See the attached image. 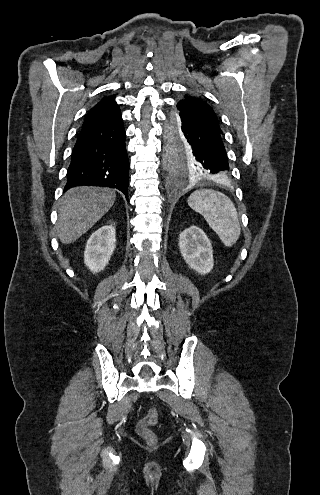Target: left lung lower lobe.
<instances>
[{
	"mask_svg": "<svg viewBox=\"0 0 320 495\" xmlns=\"http://www.w3.org/2000/svg\"><path fill=\"white\" fill-rule=\"evenodd\" d=\"M181 132L190 145L200 150V159L212 178H224L230 174L222 133L193 113L178 112ZM173 124L170 118V129ZM170 131V130H169Z\"/></svg>",
	"mask_w": 320,
	"mask_h": 495,
	"instance_id": "1",
	"label": "left lung lower lobe"
}]
</instances>
